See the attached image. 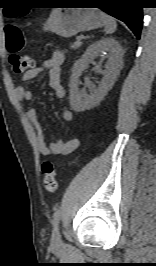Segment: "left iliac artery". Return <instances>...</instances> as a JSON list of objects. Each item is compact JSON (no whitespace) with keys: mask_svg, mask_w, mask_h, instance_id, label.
<instances>
[{"mask_svg":"<svg viewBox=\"0 0 156 266\" xmlns=\"http://www.w3.org/2000/svg\"><path fill=\"white\" fill-rule=\"evenodd\" d=\"M61 210L57 209L53 215V224L57 225L60 220Z\"/></svg>","mask_w":156,"mask_h":266,"instance_id":"left-iliac-artery-1","label":"left iliac artery"}]
</instances>
